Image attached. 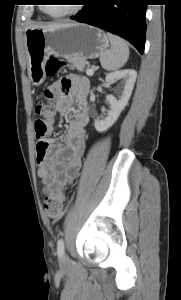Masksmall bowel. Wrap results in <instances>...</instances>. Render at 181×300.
<instances>
[{"label":"small bowel","mask_w":181,"mask_h":300,"mask_svg":"<svg viewBox=\"0 0 181 300\" xmlns=\"http://www.w3.org/2000/svg\"><path fill=\"white\" fill-rule=\"evenodd\" d=\"M88 92V80L78 75L62 77L47 90V94L56 99L57 112L69 116L63 143H58L55 138H47L36 146L38 176L44 183L46 193L71 183L80 171L87 141L86 126L89 122ZM74 102L77 110L70 114ZM47 125L48 134H51L55 126L53 123Z\"/></svg>","instance_id":"small-bowel-1"}]
</instances>
